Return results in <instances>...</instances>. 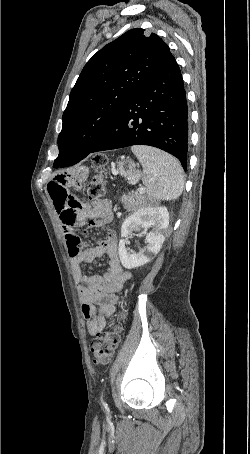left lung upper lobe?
<instances>
[{"label": "left lung upper lobe", "mask_w": 250, "mask_h": 454, "mask_svg": "<svg viewBox=\"0 0 250 454\" xmlns=\"http://www.w3.org/2000/svg\"><path fill=\"white\" fill-rule=\"evenodd\" d=\"M172 57L156 34L132 29L84 66L63 113L59 155L87 156L132 96Z\"/></svg>", "instance_id": "obj_1"}]
</instances>
